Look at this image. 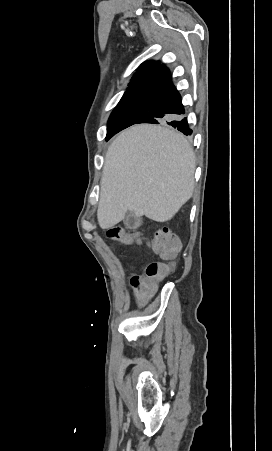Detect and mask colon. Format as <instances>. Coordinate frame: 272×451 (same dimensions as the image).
I'll use <instances>...</instances> for the list:
<instances>
[{
  "instance_id": "1",
  "label": "colon",
  "mask_w": 272,
  "mask_h": 451,
  "mask_svg": "<svg viewBox=\"0 0 272 451\" xmlns=\"http://www.w3.org/2000/svg\"><path fill=\"white\" fill-rule=\"evenodd\" d=\"M137 238L138 247L147 249H158V256H163L164 260H175L176 252L180 249V241L175 234L169 230L162 229L156 232V235H150L145 230H128L126 234L120 227H114L107 231V238L114 241H122ZM174 262H148L144 267L142 274H130L129 288L139 289L140 297H151L152 289H160L162 278L167 277V271H174Z\"/></svg>"
}]
</instances>
